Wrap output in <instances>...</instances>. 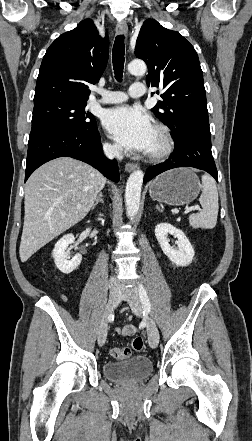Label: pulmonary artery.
<instances>
[{"label": "pulmonary artery", "instance_id": "1", "mask_svg": "<svg viewBox=\"0 0 252 441\" xmlns=\"http://www.w3.org/2000/svg\"><path fill=\"white\" fill-rule=\"evenodd\" d=\"M99 93L102 97L94 101L96 104H117L128 99V96L121 91H99ZM145 93L146 89L142 84H133L129 88V95L133 98L142 97Z\"/></svg>", "mask_w": 252, "mask_h": 441}]
</instances>
